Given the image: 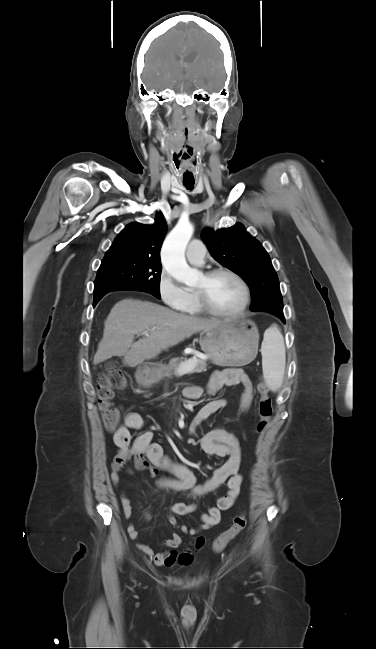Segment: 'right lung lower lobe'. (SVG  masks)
<instances>
[{
    "label": "right lung lower lobe",
    "instance_id": "obj_1",
    "mask_svg": "<svg viewBox=\"0 0 376 649\" xmlns=\"http://www.w3.org/2000/svg\"><path fill=\"white\" fill-rule=\"evenodd\" d=\"M103 296H104V295H101L100 297H98V299H101ZM97 302H98V301H94V305H96Z\"/></svg>",
    "mask_w": 376,
    "mask_h": 649
}]
</instances>
